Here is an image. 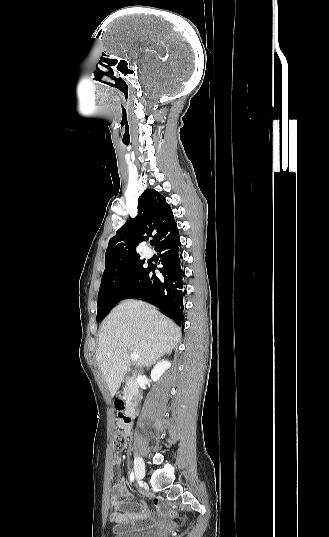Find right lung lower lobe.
Returning <instances> with one entry per match:
<instances>
[{
  "instance_id": "98d812e1",
  "label": "right lung lower lobe",
  "mask_w": 329,
  "mask_h": 537,
  "mask_svg": "<svg viewBox=\"0 0 329 537\" xmlns=\"http://www.w3.org/2000/svg\"><path fill=\"white\" fill-rule=\"evenodd\" d=\"M156 251L160 253V262L163 267L159 268V271L163 276L157 277L156 266L148 265L139 284L127 298H143L159 306L165 315L172 318L178 325H182L184 322L183 298L186 290L178 229L165 238Z\"/></svg>"
}]
</instances>
